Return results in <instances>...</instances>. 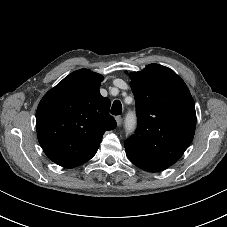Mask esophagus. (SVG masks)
Segmentation results:
<instances>
[{
    "label": "esophagus",
    "mask_w": 227,
    "mask_h": 227,
    "mask_svg": "<svg viewBox=\"0 0 227 227\" xmlns=\"http://www.w3.org/2000/svg\"><path fill=\"white\" fill-rule=\"evenodd\" d=\"M115 120H116L117 126H120L121 123H122V117L121 116H116Z\"/></svg>",
    "instance_id": "esophagus-1"
}]
</instances>
